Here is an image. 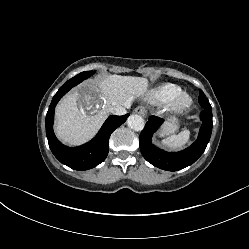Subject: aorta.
I'll use <instances>...</instances> for the list:
<instances>
[{
  "mask_svg": "<svg viewBox=\"0 0 249 249\" xmlns=\"http://www.w3.org/2000/svg\"><path fill=\"white\" fill-rule=\"evenodd\" d=\"M127 125L129 128L135 131H141L143 130L145 123L144 119L141 116L137 114H132L127 119Z\"/></svg>",
  "mask_w": 249,
  "mask_h": 249,
  "instance_id": "aorta-1",
  "label": "aorta"
}]
</instances>
